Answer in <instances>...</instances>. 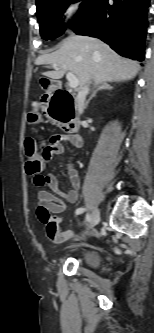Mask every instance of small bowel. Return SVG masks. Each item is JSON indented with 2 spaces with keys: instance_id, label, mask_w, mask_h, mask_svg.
Here are the masks:
<instances>
[{
  "instance_id": "obj_1",
  "label": "small bowel",
  "mask_w": 154,
  "mask_h": 333,
  "mask_svg": "<svg viewBox=\"0 0 154 333\" xmlns=\"http://www.w3.org/2000/svg\"><path fill=\"white\" fill-rule=\"evenodd\" d=\"M69 142L75 148L82 146V138L78 134H58L53 136L49 143L42 144L40 147V156L42 161L50 162L55 155H62L65 152L64 143ZM71 189L63 192L59 187V182L54 174H36L33 182L37 187L42 189L38 192L39 205L37 215L42 223H46L51 219L50 214H59L64 208L65 200L68 203H75L78 199L81 187V179L78 172L73 168L72 164L67 167ZM48 188V189H46ZM73 236L71 230L58 231V237L52 239L53 243L60 244Z\"/></svg>"
}]
</instances>
